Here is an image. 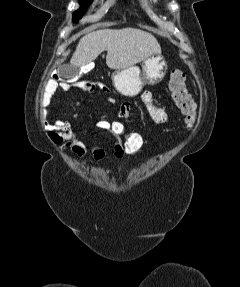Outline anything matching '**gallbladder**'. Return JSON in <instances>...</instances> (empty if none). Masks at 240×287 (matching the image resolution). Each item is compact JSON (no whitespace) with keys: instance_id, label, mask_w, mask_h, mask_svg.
<instances>
[{"instance_id":"1","label":"gallbladder","mask_w":240,"mask_h":287,"mask_svg":"<svg viewBox=\"0 0 240 287\" xmlns=\"http://www.w3.org/2000/svg\"><path fill=\"white\" fill-rule=\"evenodd\" d=\"M60 73L63 78L69 79V80H75L81 75V71L78 67H62L60 69Z\"/></svg>"}]
</instances>
